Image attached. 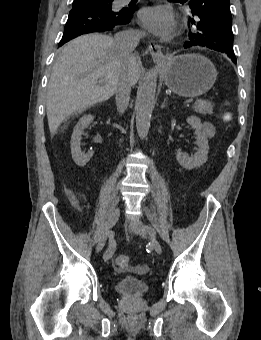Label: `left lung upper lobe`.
I'll use <instances>...</instances> for the list:
<instances>
[{
  "label": "left lung upper lobe",
  "mask_w": 261,
  "mask_h": 340,
  "mask_svg": "<svg viewBox=\"0 0 261 340\" xmlns=\"http://www.w3.org/2000/svg\"><path fill=\"white\" fill-rule=\"evenodd\" d=\"M192 14L196 16V21L191 20L196 25L195 31L189 32L190 40L194 45L208 47L210 49L233 52V32L232 16L216 10L212 14H207L208 20L202 19L200 15L207 6L226 8L230 11L229 0H194L189 3Z\"/></svg>",
  "instance_id": "left-lung-upper-lobe-1"
}]
</instances>
